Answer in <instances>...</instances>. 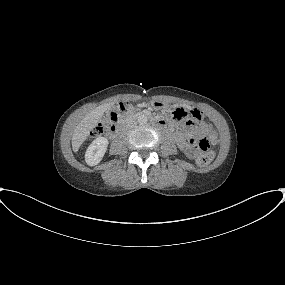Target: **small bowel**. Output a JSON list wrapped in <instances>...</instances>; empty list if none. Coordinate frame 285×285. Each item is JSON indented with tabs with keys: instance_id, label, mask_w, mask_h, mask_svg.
I'll return each mask as SVG.
<instances>
[{
	"instance_id": "1",
	"label": "small bowel",
	"mask_w": 285,
	"mask_h": 285,
	"mask_svg": "<svg viewBox=\"0 0 285 285\" xmlns=\"http://www.w3.org/2000/svg\"><path fill=\"white\" fill-rule=\"evenodd\" d=\"M193 114L195 119L190 122H187L185 125L191 127H197V126L204 127L205 122L203 121L202 114L198 110H193ZM176 140L181 149H185L187 147L186 138L183 132L176 133Z\"/></svg>"
}]
</instances>
